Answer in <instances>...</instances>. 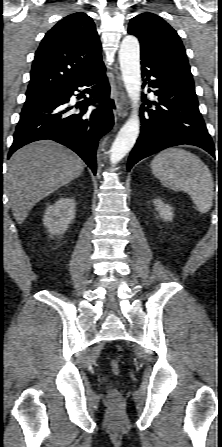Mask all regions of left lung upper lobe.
Listing matches in <instances>:
<instances>
[{"label":"left lung upper lobe","mask_w":222,"mask_h":447,"mask_svg":"<svg viewBox=\"0 0 222 447\" xmlns=\"http://www.w3.org/2000/svg\"><path fill=\"white\" fill-rule=\"evenodd\" d=\"M128 33L140 41L142 54H147L171 67L193 83L185 48L176 31L162 18L142 13L131 19Z\"/></svg>","instance_id":"5c2ea615"}]
</instances>
